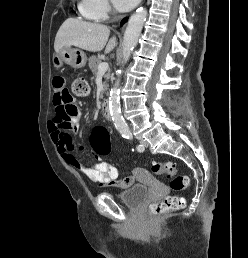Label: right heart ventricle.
Masks as SVG:
<instances>
[{
	"mask_svg": "<svg viewBox=\"0 0 248 258\" xmlns=\"http://www.w3.org/2000/svg\"><path fill=\"white\" fill-rule=\"evenodd\" d=\"M78 8H79V11H80L81 15H82L84 18L89 19V20H94V19H95V18L86 10L84 0H80V1H79V3H78Z\"/></svg>",
	"mask_w": 248,
	"mask_h": 258,
	"instance_id": "e07e8e85",
	"label": "right heart ventricle"
}]
</instances>
